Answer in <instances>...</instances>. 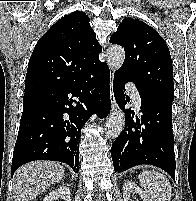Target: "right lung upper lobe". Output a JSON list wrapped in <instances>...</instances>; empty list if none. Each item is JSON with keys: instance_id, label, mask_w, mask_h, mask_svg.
<instances>
[{"instance_id": "right-lung-upper-lobe-1", "label": "right lung upper lobe", "mask_w": 196, "mask_h": 201, "mask_svg": "<svg viewBox=\"0 0 196 201\" xmlns=\"http://www.w3.org/2000/svg\"><path fill=\"white\" fill-rule=\"evenodd\" d=\"M89 22L85 13L72 12L39 39L29 60L24 95L73 81L100 63L102 47Z\"/></svg>"}]
</instances>
